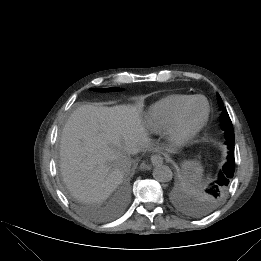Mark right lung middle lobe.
I'll return each instance as SVG.
<instances>
[{"label": "right lung middle lobe", "mask_w": 261, "mask_h": 261, "mask_svg": "<svg viewBox=\"0 0 261 261\" xmlns=\"http://www.w3.org/2000/svg\"><path fill=\"white\" fill-rule=\"evenodd\" d=\"M92 90L97 91V92H113V91H120L122 89L121 88L112 87V88L92 89Z\"/></svg>", "instance_id": "dd1d6c3e"}]
</instances>
